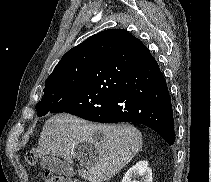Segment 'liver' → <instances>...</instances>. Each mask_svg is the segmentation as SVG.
I'll return each instance as SVG.
<instances>
[{
	"mask_svg": "<svg viewBox=\"0 0 211 182\" xmlns=\"http://www.w3.org/2000/svg\"><path fill=\"white\" fill-rule=\"evenodd\" d=\"M96 131L102 133L97 139ZM90 144L98 158L80 160L78 175L89 182H104L119 173L142 147V134L131 125H103L88 123L73 115L62 113L48 119L40 134L37 154L52 155L73 163L75 148Z\"/></svg>",
	"mask_w": 211,
	"mask_h": 182,
	"instance_id": "obj_1",
	"label": "liver"
}]
</instances>
